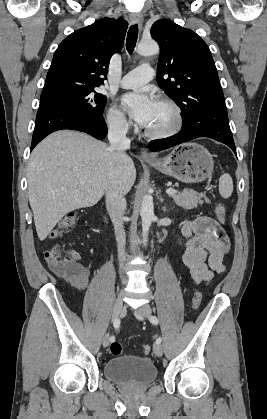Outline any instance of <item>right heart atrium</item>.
<instances>
[{
	"mask_svg": "<svg viewBox=\"0 0 267 419\" xmlns=\"http://www.w3.org/2000/svg\"><path fill=\"white\" fill-rule=\"evenodd\" d=\"M106 122L109 129L117 134L127 133L131 126L124 113L114 105H111L107 110Z\"/></svg>",
	"mask_w": 267,
	"mask_h": 419,
	"instance_id": "obj_1",
	"label": "right heart atrium"
}]
</instances>
